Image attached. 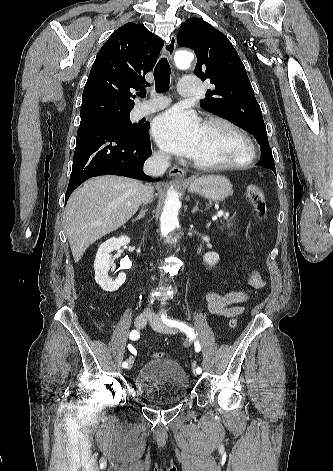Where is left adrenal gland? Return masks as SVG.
Instances as JSON below:
<instances>
[{"label": "left adrenal gland", "mask_w": 333, "mask_h": 471, "mask_svg": "<svg viewBox=\"0 0 333 471\" xmlns=\"http://www.w3.org/2000/svg\"><path fill=\"white\" fill-rule=\"evenodd\" d=\"M198 204H199V201H196V204L195 206L193 207V210H192V213L194 214L195 212H199V208H198Z\"/></svg>", "instance_id": "a2214340"}]
</instances>
